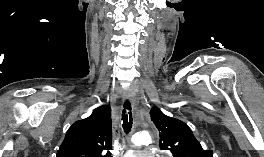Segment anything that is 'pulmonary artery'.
Wrapping results in <instances>:
<instances>
[{"mask_svg":"<svg viewBox=\"0 0 264 157\" xmlns=\"http://www.w3.org/2000/svg\"><path fill=\"white\" fill-rule=\"evenodd\" d=\"M126 157H130V155L126 156ZM146 157H152V156H146Z\"/></svg>","mask_w":264,"mask_h":157,"instance_id":"e3ab8cb5","label":"pulmonary artery"}]
</instances>
